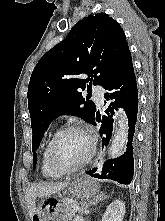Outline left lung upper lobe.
Masks as SVG:
<instances>
[{
  "label": "left lung upper lobe",
  "instance_id": "5c2ea615",
  "mask_svg": "<svg viewBox=\"0 0 165 221\" xmlns=\"http://www.w3.org/2000/svg\"><path fill=\"white\" fill-rule=\"evenodd\" d=\"M120 25L106 13L78 21L67 37L49 50L34 68L28 87L33 164L42 137L59 115H76L91 123L96 107L82 97L92 83L102 87L130 55ZM87 74V79L81 76Z\"/></svg>",
  "mask_w": 165,
  "mask_h": 221
}]
</instances>
